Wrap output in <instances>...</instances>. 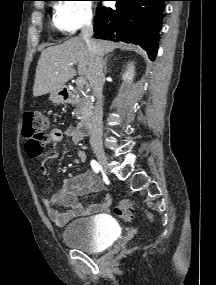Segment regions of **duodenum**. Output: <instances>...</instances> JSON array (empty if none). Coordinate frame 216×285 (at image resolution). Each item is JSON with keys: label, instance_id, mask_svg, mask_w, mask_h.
Masks as SVG:
<instances>
[{"label": "duodenum", "instance_id": "obj_1", "mask_svg": "<svg viewBox=\"0 0 216 285\" xmlns=\"http://www.w3.org/2000/svg\"><path fill=\"white\" fill-rule=\"evenodd\" d=\"M62 97L65 101L70 102L74 99V94L69 89H64L62 91ZM94 127V107L90 103L86 113L81 118L78 124V130L83 135H88L92 132Z\"/></svg>", "mask_w": 216, "mask_h": 285}]
</instances>
